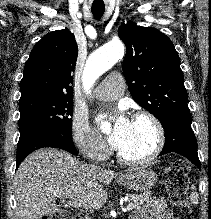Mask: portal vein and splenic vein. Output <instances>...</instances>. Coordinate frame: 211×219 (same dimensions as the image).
Listing matches in <instances>:
<instances>
[{
	"label": "portal vein and splenic vein",
	"mask_w": 211,
	"mask_h": 219,
	"mask_svg": "<svg viewBox=\"0 0 211 219\" xmlns=\"http://www.w3.org/2000/svg\"><path fill=\"white\" fill-rule=\"evenodd\" d=\"M73 205V204H72ZM73 206H75L76 207V205H73ZM134 208V206H133V204L132 203H130L128 206H127V211H130V210H132Z\"/></svg>",
	"instance_id": "18ae733b"
}]
</instances>
